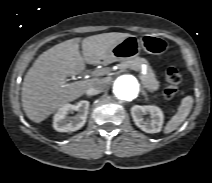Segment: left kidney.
Returning a JSON list of instances; mask_svg holds the SVG:
<instances>
[{
    "label": "left kidney",
    "instance_id": "obj_1",
    "mask_svg": "<svg viewBox=\"0 0 212 183\" xmlns=\"http://www.w3.org/2000/svg\"><path fill=\"white\" fill-rule=\"evenodd\" d=\"M146 113L150 114V119L144 120L143 115ZM131 115L136 126L146 133H158L162 129L164 115L157 106L135 105L131 108Z\"/></svg>",
    "mask_w": 212,
    "mask_h": 183
}]
</instances>
